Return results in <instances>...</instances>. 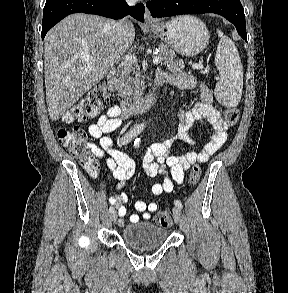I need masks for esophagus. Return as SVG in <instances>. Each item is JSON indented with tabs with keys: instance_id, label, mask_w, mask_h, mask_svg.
<instances>
[{
	"instance_id": "34e87169",
	"label": "esophagus",
	"mask_w": 288,
	"mask_h": 293,
	"mask_svg": "<svg viewBox=\"0 0 288 293\" xmlns=\"http://www.w3.org/2000/svg\"><path fill=\"white\" fill-rule=\"evenodd\" d=\"M156 21L152 17L150 11L148 9L145 10V23L146 24H154Z\"/></svg>"
}]
</instances>
